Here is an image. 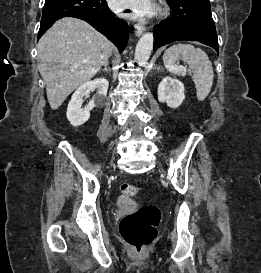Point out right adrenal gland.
Here are the masks:
<instances>
[{"label":"right adrenal gland","instance_id":"1","mask_svg":"<svg viewBox=\"0 0 261 273\" xmlns=\"http://www.w3.org/2000/svg\"><path fill=\"white\" fill-rule=\"evenodd\" d=\"M108 65H109V61L107 60L105 63H104V69H103V71H108L109 69H108Z\"/></svg>","mask_w":261,"mask_h":273}]
</instances>
